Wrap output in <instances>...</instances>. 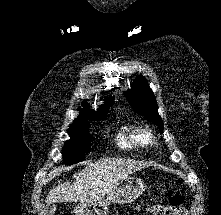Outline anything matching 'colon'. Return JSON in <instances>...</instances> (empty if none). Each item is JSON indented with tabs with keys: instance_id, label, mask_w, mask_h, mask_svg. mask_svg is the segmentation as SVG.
<instances>
[{
	"instance_id": "obj_1",
	"label": "colon",
	"mask_w": 221,
	"mask_h": 215,
	"mask_svg": "<svg viewBox=\"0 0 221 215\" xmlns=\"http://www.w3.org/2000/svg\"><path fill=\"white\" fill-rule=\"evenodd\" d=\"M168 205L156 204L150 207L151 215H188L187 209L184 206L183 197L173 191L167 190Z\"/></svg>"
}]
</instances>
